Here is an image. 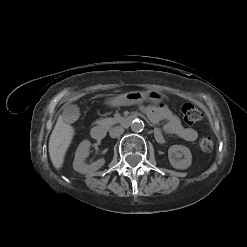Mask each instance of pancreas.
Returning <instances> with one entry per match:
<instances>
[{
  "mask_svg": "<svg viewBox=\"0 0 247 247\" xmlns=\"http://www.w3.org/2000/svg\"><path fill=\"white\" fill-rule=\"evenodd\" d=\"M118 122L119 120L117 118H104V119L98 120L97 124L108 129Z\"/></svg>",
  "mask_w": 247,
  "mask_h": 247,
  "instance_id": "obj_1",
  "label": "pancreas"
}]
</instances>
